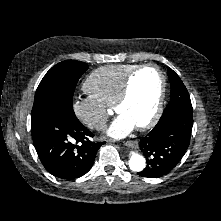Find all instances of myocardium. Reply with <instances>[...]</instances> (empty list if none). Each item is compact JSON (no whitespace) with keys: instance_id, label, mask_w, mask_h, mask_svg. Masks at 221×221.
<instances>
[{"instance_id":"myocardium-1","label":"myocardium","mask_w":221,"mask_h":221,"mask_svg":"<svg viewBox=\"0 0 221 221\" xmlns=\"http://www.w3.org/2000/svg\"><path fill=\"white\" fill-rule=\"evenodd\" d=\"M147 68H153L159 73V75L161 77V89H160V94H159V98L157 101V105H156L154 114L147 122L137 126V129L140 131H144V130L152 128L158 122V120L160 119V117L162 115L165 97H166V89H167V77H166L164 71L157 64H154V63H147V64L139 65L133 71H131L129 73V75L127 76V78L125 79V82L123 84L120 95L114 104V110L117 113H119V108L130 97L132 82H133L135 76L139 72H141L142 70L147 69Z\"/></svg>"}]
</instances>
